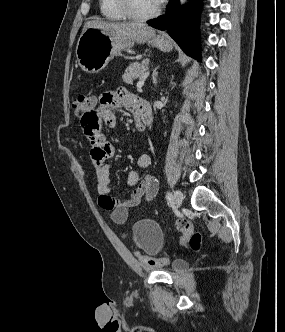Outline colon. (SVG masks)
I'll list each match as a JSON object with an SVG mask.
<instances>
[{
  "instance_id": "obj_1",
  "label": "colon",
  "mask_w": 285,
  "mask_h": 332,
  "mask_svg": "<svg viewBox=\"0 0 285 332\" xmlns=\"http://www.w3.org/2000/svg\"><path fill=\"white\" fill-rule=\"evenodd\" d=\"M98 106L94 96L80 95L73 102V108L76 117L83 115V111H88L89 107ZM82 124V122H81ZM177 229L182 233V245L184 248L198 250L201 245V235L193 231L192 224L187 220H180L177 223ZM141 260L148 266H160L165 264L169 258H151L141 255Z\"/></svg>"
}]
</instances>
